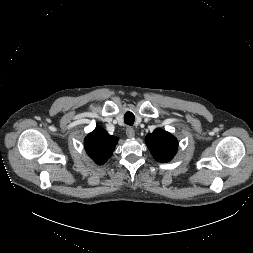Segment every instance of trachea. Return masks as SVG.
<instances>
[{
    "instance_id": "trachea-1",
    "label": "trachea",
    "mask_w": 253,
    "mask_h": 253,
    "mask_svg": "<svg viewBox=\"0 0 253 253\" xmlns=\"http://www.w3.org/2000/svg\"><path fill=\"white\" fill-rule=\"evenodd\" d=\"M134 121H135L134 114L132 112H129V111L126 112L125 115H124L125 124L132 126L134 124Z\"/></svg>"
}]
</instances>
